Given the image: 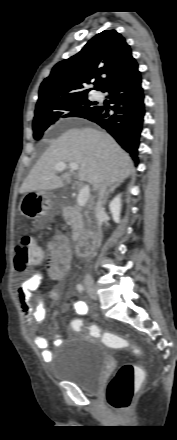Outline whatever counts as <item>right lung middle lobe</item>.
Returning <instances> with one entry per match:
<instances>
[{"label":"right lung middle lobe","mask_w":177,"mask_h":440,"mask_svg":"<svg viewBox=\"0 0 177 440\" xmlns=\"http://www.w3.org/2000/svg\"><path fill=\"white\" fill-rule=\"evenodd\" d=\"M96 107V103L90 102L87 95L63 97L36 107L33 119V136L35 139H40L43 133L59 118L84 117Z\"/></svg>","instance_id":"obj_1"}]
</instances>
